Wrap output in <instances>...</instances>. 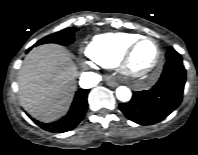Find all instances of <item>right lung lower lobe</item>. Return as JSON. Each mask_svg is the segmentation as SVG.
I'll return each instance as SVG.
<instances>
[{
    "label": "right lung lower lobe",
    "mask_w": 198,
    "mask_h": 155,
    "mask_svg": "<svg viewBox=\"0 0 198 155\" xmlns=\"http://www.w3.org/2000/svg\"><path fill=\"white\" fill-rule=\"evenodd\" d=\"M89 90L82 89L76 92L75 98L71 105V109L66 116H64L59 121L53 123H42L36 121L32 118V120L41 128L46 131L54 132V133H62L75 128L82 118L84 117L87 110V96Z\"/></svg>",
    "instance_id": "98d812e1"
}]
</instances>
